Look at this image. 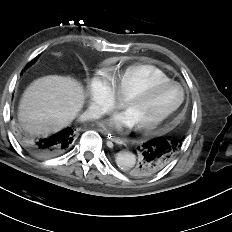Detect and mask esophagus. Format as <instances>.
Listing matches in <instances>:
<instances>
[{
	"label": "esophagus",
	"mask_w": 232,
	"mask_h": 232,
	"mask_svg": "<svg viewBox=\"0 0 232 232\" xmlns=\"http://www.w3.org/2000/svg\"><path fill=\"white\" fill-rule=\"evenodd\" d=\"M98 130L102 134H104L107 137V139H109L110 141L115 142L117 144H122L123 141L120 138L113 136L106 128L101 127L98 128Z\"/></svg>",
	"instance_id": "esophagus-1"
}]
</instances>
